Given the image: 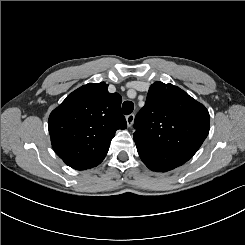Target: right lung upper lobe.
I'll return each instance as SVG.
<instances>
[{
	"label": "right lung upper lobe",
	"mask_w": 245,
	"mask_h": 245,
	"mask_svg": "<svg viewBox=\"0 0 245 245\" xmlns=\"http://www.w3.org/2000/svg\"><path fill=\"white\" fill-rule=\"evenodd\" d=\"M107 88L104 82L88 83L69 94L49 116L52 147L76 170L100 164L116 130L127 127L121 96Z\"/></svg>",
	"instance_id": "1"
}]
</instances>
